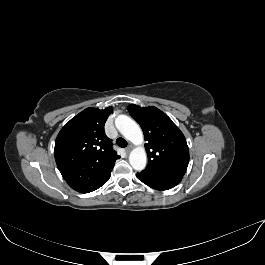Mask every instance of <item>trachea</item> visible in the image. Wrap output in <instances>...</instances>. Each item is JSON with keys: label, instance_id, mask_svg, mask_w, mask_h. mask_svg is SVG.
<instances>
[{"label": "trachea", "instance_id": "obj_1", "mask_svg": "<svg viewBox=\"0 0 265 265\" xmlns=\"http://www.w3.org/2000/svg\"><path fill=\"white\" fill-rule=\"evenodd\" d=\"M116 143L119 147L121 148H125L127 146V141L122 138V137H119L117 140H116Z\"/></svg>", "mask_w": 265, "mask_h": 265}]
</instances>
